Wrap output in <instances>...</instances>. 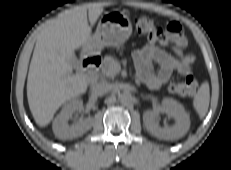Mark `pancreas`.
Returning a JSON list of instances; mask_svg holds the SVG:
<instances>
[{
  "label": "pancreas",
  "mask_w": 231,
  "mask_h": 170,
  "mask_svg": "<svg viewBox=\"0 0 231 170\" xmlns=\"http://www.w3.org/2000/svg\"><path fill=\"white\" fill-rule=\"evenodd\" d=\"M118 63L116 59H114L110 55H106L103 60V66L101 69V74L103 77L114 78L119 71H116L112 68L114 64Z\"/></svg>",
  "instance_id": "obj_1"
}]
</instances>
